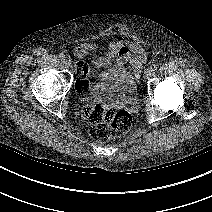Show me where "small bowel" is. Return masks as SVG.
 I'll return each instance as SVG.
<instances>
[{
    "label": "small bowel",
    "mask_w": 212,
    "mask_h": 212,
    "mask_svg": "<svg viewBox=\"0 0 212 212\" xmlns=\"http://www.w3.org/2000/svg\"><path fill=\"white\" fill-rule=\"evenodd\" d=\"M99 49L96 43H83L75 48V55L79 58ZM147 60L146 53L140 47H134L126 42H110L104 54L94 65L103 68H120L127 66L130 71L138 73Z\"/></svg>",
    "instance_id": "obj_1"
}]
</instances>
